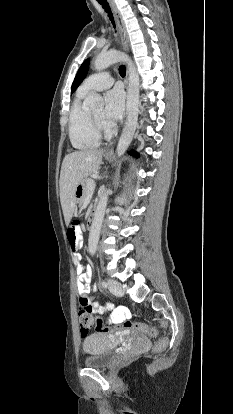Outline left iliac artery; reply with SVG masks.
<instances>
[{"label":"left iliac artery","mask_w":233,"mask_h":414,"mask_svg":"<svg viewBox=\"0 0 233 414\" xmlns=\"http://www.w3.org/2000/svg\"><path fill=\"white\" fill-rule=\"evenodd\" d=\"M102 286L104 287V288H107L108 287V283L106 282V281H102Z\"/></svg>","instance_id":"obj_1"}]
</instances>
